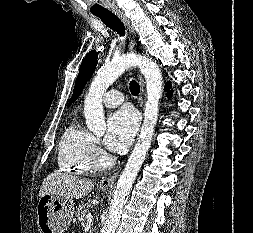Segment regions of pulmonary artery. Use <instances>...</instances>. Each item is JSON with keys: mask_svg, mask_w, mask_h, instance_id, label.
<instances>
[{"mask_svg": "<svg viewBox=\"0 0 253 233\" xmlns=\"http://www.w3.org/2000/svg\"><path fill=\"white\" fill-rule=\"evenodd\" d=\"M124 101V96L121 91L111 89L104 94L103 103L106 107L114 108L119 106Z\"/></svg>", "mask_w": 253, "mask_h": 233, "instance_id": "1", "label": "pulmonary artery"}]
</instances>
